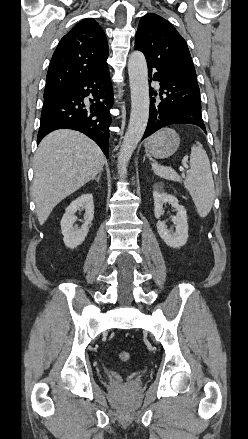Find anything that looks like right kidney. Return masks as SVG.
Wrapping results in <instances>:
<instances>
[{"instance_id": "ca27d5eb", "label": "right kidney", "mask_w": 248, "mask_h": 439, "mask_svg": "<svg viewBox=\"0 0 248 439\" xmlns=\"http://www.w3.org/2000/svg\"><path fill=\"white\" fill-rule=\"evenodd\" d=\"M80 209H85L84 224L78 228L74 226L77 220L75 213ZM93 217L94 201L93 195L90 193L82 194L66 208L61 220V230L64 236L63 241L68 248L74 249L84 242Z\"/></svg>"}]
</instances>
